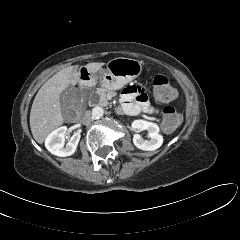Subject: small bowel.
Instances as JSON below:
<instances>
[{
    "mask_svg": "<svg viewBox=\"0 0 240 240\" xmlns=\"http://www.w3.org/2000/svg\"><path fill=\"white\" fill-rule=\"evenodd\" d=\"M123 111L128 115H138L140 113L156 114L158 109L152 106L145 91L138 85L127 86L120 98Z\"/></svg>",
    "mask_w": 240,
    "mask_h": 240,
    "instance_id": "1",
    "label": "small bowel"
}]
</instances>
